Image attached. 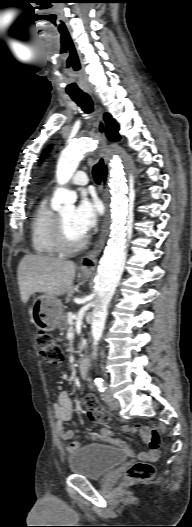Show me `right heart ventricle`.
Wrapping results in <instances>:
<instances>
[{
  "mask_svg": "<svg viewBox=\"0 0 192 527\" xmlns=\"http://www.w3.org/2000/svg\"><path fill=\"white\" fill-rule=\"evenodd\" d=\"M55 217L46 200L35 209L31 222V244L34 252L40 256H55L60 249L55 239Z\"/></svg>",
  "mask_w": 192,
  "mask_h": 527,
  "instance_id": "e07e8e85",
  "label": "right heart ventricle"
}]
</instances>
